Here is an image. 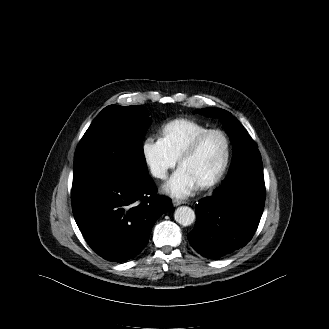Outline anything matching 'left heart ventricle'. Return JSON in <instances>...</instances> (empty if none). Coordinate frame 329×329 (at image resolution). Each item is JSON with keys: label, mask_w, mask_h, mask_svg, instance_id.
<instances>
[{"label": "left heart ventricle", "mask_w": 329, "mask_h": 329, "mask_svg": "<svg viewBox=\"0 0 329 329\" xmlns=\"http://www.w3.org/2000/svg\"><path fill=\"white\" fill-rule=\"evenodd\" d=\"M225 155V142L218 134L207 136L196 153L184 160L180 167L198 183L211 178L220 168Z\"/></svg>", "instance_id": "obj_1"}]
</instances>
